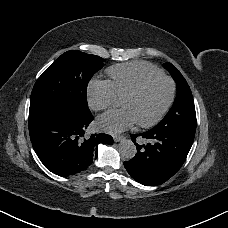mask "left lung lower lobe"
I'll use <instances>...</instances> for the list:
<instances>
[{
  "label": "left lung lower lobe",
  "mask_w": 228,
  "mask_h": 228,
  "mask_svg": "<svg viewBox=\"0 0 228 228\" xmlns=\"http://www.w3.org/2000/svg\"><path fill=\"white\" fill-rule=\"evenodd\" d=\"M194 136L195 132L190 130L156 127L141 134H132L131 140L137 147V153L124 162V166L137 182L146 186L160 185L181 168Z\"/></svg>",
  "instance_id": "left-lung-lower-lobe-1"
}]
</instances>
